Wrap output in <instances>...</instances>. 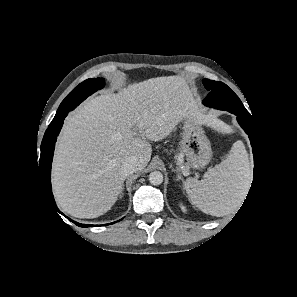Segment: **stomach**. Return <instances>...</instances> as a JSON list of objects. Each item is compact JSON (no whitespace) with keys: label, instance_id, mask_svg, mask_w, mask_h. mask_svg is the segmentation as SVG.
<instances>
[{"label":"stomach","instance_id":"obj_1","mask_svg":"<svg viewBox=\"0 0 297 297\" xmlns=\"http://www.w3.org/2000/svg\"><path fill=\"white\" fill-rule=\"evenodd\" d=\"M212 158V149L202 124L196 119H185L182 140L176 159L185 161L188 169H202Z\"/></svg>","mask_w":297,"mask_h":297}]
</instances>
